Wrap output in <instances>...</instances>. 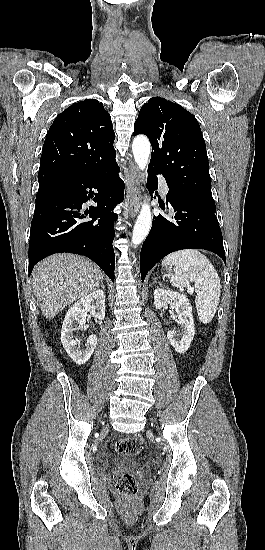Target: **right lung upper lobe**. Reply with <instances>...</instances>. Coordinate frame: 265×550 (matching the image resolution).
Segmentation results:
<instances>
[{
    "mask_svg": "<svg viewBox=\"0 0 265 550\" xmlns=\"http://www.w3.org/2000/svg\"><path fill=\"white\" fill-rule=\"evenodd\" d=\"M115 134L101 102L86 99L71 105L47 133L38 173L39 187L96 172L115 162Z\"/></svg>",
    "mask_w": 265,
    "mask_h": 550,
    "instance_id": "1",
    "label": "right lung upper lobe"
}]
</instances>
